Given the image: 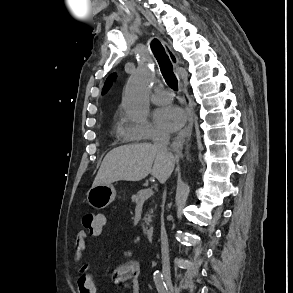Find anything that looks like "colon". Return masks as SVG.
I'll list each match as a JSON object with an SVG mask.
<instances>
[{
	"mask_svg": "<svg viewBox=\"0 0 293 293\" xmlns=\"http://www.w3.org/2000/svg\"><path fill=\"white\" fill-rule=\"evenodd\" d=\"M82 224L91 234H94L101 230L103 221L99 215L93 212H86L82 216Z\"/></svg>",
	"mask_w": 293,
	"mask_h": 293,
	"instance_id": "1",
	"label": "colon"
}]
</instances>
